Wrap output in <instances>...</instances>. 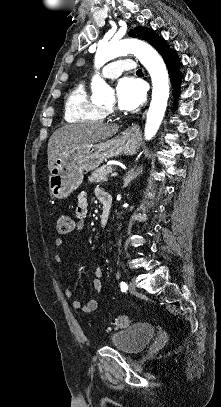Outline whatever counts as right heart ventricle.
Segmentation results:
<instances>
[{
    "label": "right heart ventricle",
    "instance_id": "obj_1",
    "mask_svg": "<svg viewBox=\"0 0 221 407\" xmlns=\"http://www.w3.org/2000/svg\"><path fill=\"white\" fill-rule=\"evenodd\" d=\"M107 115L105 108L90 96L85 81L77 82L65 101V119L68 122H99Z\"/></svg>",
    "mask_w": 221,
    "mask_h": 407
}]
</instances>
